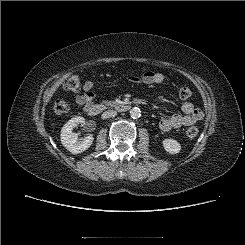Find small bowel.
<instances>
[{
  "instance_id": "c3829d8e",
  "label": "small bowel",
  "mask_w": 245,
  "mask_h": 245,
  "mask_svg": "<svg viewBox=\"0 0 245 245\" xmlns=\"http://www.w3.org/2000/svg\"><path fill=\"white\" fill-rule=\"evenodd\" d=\"M135 82L144 84H160L163 82L164 77L161 73L154 71H147L140 76L131 78ZM93 83L87 81L84 83L83 92L76 97V103L84 108L92 104L94 100ZM183 114H173L169 117L161 119L159 127L162 131L168 132L172 129H177L183 126L195 124L203 118V112L200 108L196 107L193 103L186 101L182 105Z\"/></svg>"
}]
</instances>
